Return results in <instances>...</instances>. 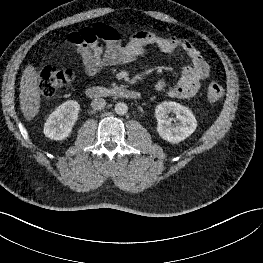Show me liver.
<instances>
[{
    "label": "liver",
    "mask_w": 263,
    "mask_h": 263,
    "mask_svg": "<svg viewBox=\"0 0 263 263\" xmlns=\"http://www.w3.org/2000/svg\"><path fill=\"white\" fill-rule=\"evenodd\" d=\"M39 76L32 65L26 66L20 82V106L26 120H32L40 109Z\"/></svg>",
    "instance_id": "1"
}]
</instances>
